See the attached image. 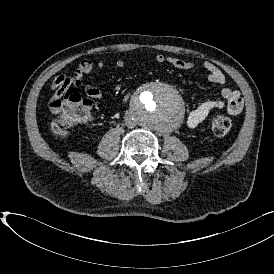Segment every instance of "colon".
I'll list each match as a JSON object with an SVG mask.
<instances>
[{
  "mask_svg": "<svg viewBox=\"0 0 274 274\" xmlns=\"http://www.w3.org/2000/svg\"><path fill=\"white\" fill-rule=\"evenodd\" d=\"M48 108L59 110L51 122L52 131L56 134H66L78 124L90 122L94 109L93 103L77 91L59 94L58 102ZM211 129L216 136L226 135L232 129V121L228 116L215 115L211 120Z\"/></svg>",
  "mask_w": 274,
  "mask_h": 274,
  "instance_id": "obj_1",
  "label": "colon"
}]
</instances>
